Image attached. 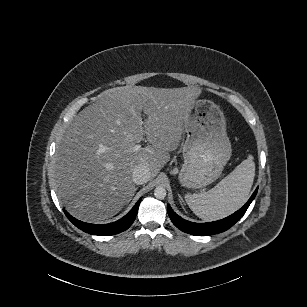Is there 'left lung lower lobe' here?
Returning <instances> with one entry per match:
<instances>
[{"instance_id":"obj_1","label":"left lung lower lobe","mask_w":307,"mask_h":307,"mask_svg":"<svg viewBox=\"0 0 307 307\" xmlns=\"http://www.w3.org/2000/svg\"><path fill=\"white\" fill-rule=\"evenodd\" d=\"M257 194V189L252 194L248 202L234 214L215 222L210 223H193L187 220H184L180 216H178L168 205L167 210L170 219L174 223V225L183 232L198 235V236H206L212 235L220 232H224L233 226L246 212L247 208L249 207L250 203L253 201L254 197Z\"/></svg>"}]
</instances>
